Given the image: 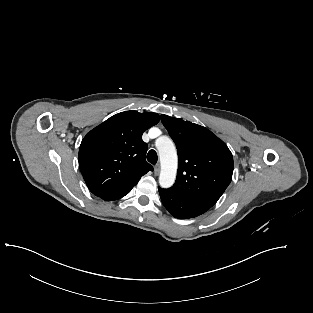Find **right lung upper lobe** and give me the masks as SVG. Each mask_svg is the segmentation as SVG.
<instances>
[{"label":"right lung upper lobe","instance_id":"obj_1","mask_svg":"<svg viewBox=\"0 0 313 313\" xmlns=\"http://www.w3.org/2000/svg\"><path fill=\"white\" fill-rule=\"evenodd\" d=\"M156 113L125 111L88 132L79 149V167L96 196L135 186L153 167L145 160L144 131L156 125Z\"/></svg>","mask_w":313,"mask_h":313}]
</instances>
